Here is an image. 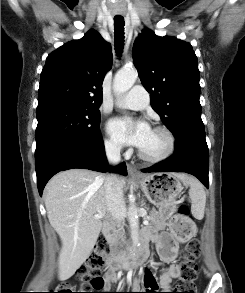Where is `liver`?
Wrapping results in <instances>:
<instances>
[{
  "label": "liver",
  "instance_id": "obj_1",
  "mask_svg": "<svg viewBox=\"0 0 245 293\" xmlns=\"http://www.w3.org/2000/svg\"><path fill=\"white\" fill-rule=\"evenodd\" d=\"M187 182L185 174H176ZM106 176L85 169H70L55 175L44 191L47 217L59 235L58 278L65 281L91 254L102 229L103 216L109 217L105 199ZM123 189L125 179L119 178ZM102 214L101 218H95Z\"/></svg>",
  "mask_w": 245,
  "mask_h": 293
}]
</instances>
